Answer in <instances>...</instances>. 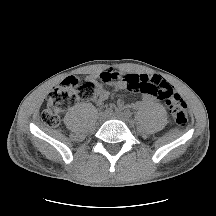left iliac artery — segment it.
<instances>
[{
	"label": "left iliac artery",
	"instance_id": "1",
	"mask_svg": "<svg viewBox=\"0 0 216 216\" xmlns=\"http://www.w3.org/2000/svg\"><path fill=\"white\" fill-rule=\"evenodd\" d=\"M124 114H125L128 118H130V117L132 116V113H131V111H129V110H125V111H124Z\"/></svg>",
	"mask_w": 216,
	"mask_h": 216
}]
</instances>
